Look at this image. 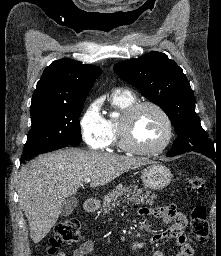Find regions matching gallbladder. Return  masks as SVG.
<instances>
[{"mask_svg": "<svg viewBox=\"0 0 221 256\" xmlns=\"http://www.w3.org/2000/svg\"><path fill=\"white\" fill-rule=\"evenodd\" d=\"M77 204H78V201L74 197H71L65 200L64 204L62 205L61 216L63 217L69 216L74 210V208L77 206Z\"/></svg>", "mask_w": 221, "mask_h": 256, "instance_id": "obj_1", "label": "gallbladder"}]
</instances>
